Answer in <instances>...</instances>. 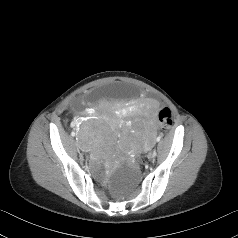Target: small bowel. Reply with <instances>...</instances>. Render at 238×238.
Returning <instances> with one entry per match:
<instances>
[{
  "mask_svg": "<svg viewBox=\"0 0 238 238\" xmlns=\"http://www.w3.org/2000/svg\"><path fill=\"white\" fill-rule=\"evenodd\" d=\"M157 109V105L154 102H146L145 104V115L147 117V122L149 124V127L152 128L154 125V116ZM82 118H76L71 126L77 127L82 123Z\"/></svg>",
  "mask_w": 238,
  "mask_h": 238,
  "instance_id": "obj_1",
  "label": "small bowel"
}]
</instances>
